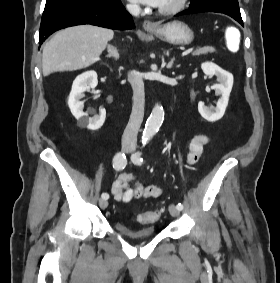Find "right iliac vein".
I'll return each instance as SVG.
<instances>
[{
    "label": "right iliac vein",
    "mask_w": 280,
    "mask_h": 283,
    "mask_svg": "<svg viewBox=\"0 0 280 283\" xmlns=\"http://www.w3.org/2000/svg\"><path fill=\"white\" fill-rule=\"evenodd\" d=\"M122 150L124 152H130L132 150V147L130 145L124 144L122 147ZM99 206L101 209H106L108 206V202L105 199H100L99 200Z\"/></svg>",
    "instance_id": "63e3f726"
}]
</instances>
